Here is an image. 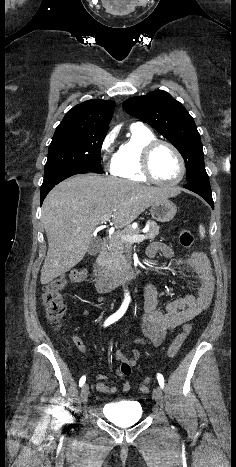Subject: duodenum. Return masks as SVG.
<instances>
[{
    "label": "duodenum",
    "mask_w": 236,
    "mask_h": 467,
    "mask_svg": "<svg viewBox=\"0 0 236 467\" xmlns=\"http://www.w3.org/2000/svg\"><path fill=\"white\" fill-rule=\"evenodd\" d=\"M107 244V239H103L101 242V252L98 256V259L91 266L92 279L99 293L110 292L122 283L141 274L140 268L134 264L127 265L119 271H108L105 268L101 258L103 252L107 248Z\"/></svg>",
    "instance_id": "obj_1"
}]
</instances>
